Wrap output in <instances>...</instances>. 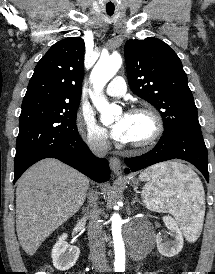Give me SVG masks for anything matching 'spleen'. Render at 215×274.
<instances>
[{"mask_svg":"<svg viewBox=\"0 0 215 274\" xmlns=\"http://www.w3.org/2000/svg\"><path fill=\"white\" fill-rule=\"evenodd\" d=\"M146 181L142 201L153 211L168 212L177 220L189 240L196 239L205 214V193L200 179L188 167L173 162L161 163L142 171Z\"/></svg>","mask_w":215,"mask_h":274,"instance_id":"obj_1","label":"spleen"}]
</instances>
